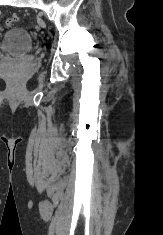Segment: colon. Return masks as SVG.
<instances>
[{
	"mask_svg": "<svg viewBox=\"0 0 163 235\" xmlns=\"http://www.w3.org/2000/svg\"><path fill=\"white\" fill-rule=\"evenodd\" d=\"M19 21V17L17 15H12L6 20L7 26L15 25Z\"/></svg>",
	"mask_w": 163,
	"mask_h": 235,
	"instance_id": "5ec220e1",
	"label": "colon"
}]
</instances>
